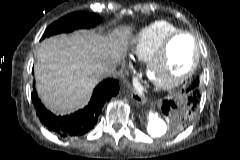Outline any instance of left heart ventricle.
Instances as JSON below:
<instances>
[{
	"mask_svg": "<svg viewBox=\"0 0 240 160\" xmlns=\"http://www.w3.org/2000/svg\"><path fill=\"white\" fill-rule=\"evenodd\" d=\"M194 56L192 40L187 36L176 38L169 45L165 58L152 71L156 79H164L184 72L191 64Z\"/></svg>",
	"mask_w": 240,
	"mask_h": 160,
	"instance_id": "obj_1",
	"label": "left heart ventricle"
}]
</instances>
